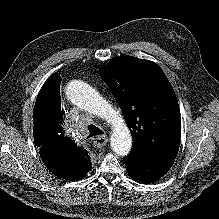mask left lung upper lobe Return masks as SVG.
<instances>
[{
  "mask_svg": "<svg viewBox=\"0 0 219 219\" xmlns=\"http://www.w3.org/2000/svg\"><path fill=\"white\" fill-rule=\"evenodd\" d=\"M132 133L130 154L176 158L181 119L175 92L154 62L133 56L116 57L100 68Z\"/></svg>",
  "mask_w": 219,
  "mask_h": 219,
  "instance_id": "obj_1",
  "label": "left lung upper lobe"
}]
</instances>
